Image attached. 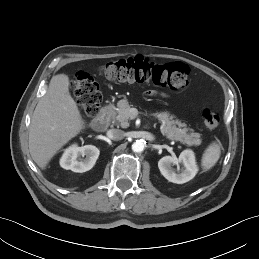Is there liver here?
<instances>
[{
  "mask_svg": "<svg viewBox=\"0 0 259 259\" xmlns=\"http://www.w3.org/2000/svg\"><path fill=\"white\" fill-rule=\"evenodd\" d=\"M85 128L69 92V77L57 74L39 100L31 118L29 150L34 162L45 169L57 151Z\"/></svg>",
  "mask_w": 259,
  "mask_h": 259,
  "instance_id": "1",
  "label": "liver"
}]
</instances>
